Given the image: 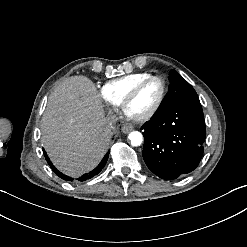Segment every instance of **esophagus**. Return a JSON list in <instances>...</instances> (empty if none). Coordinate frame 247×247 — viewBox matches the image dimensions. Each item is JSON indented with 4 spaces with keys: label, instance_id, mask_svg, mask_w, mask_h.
<instances>
[{
    "label": "esophagus",
    "instance_id": "1",
    "mask_svg": "<svg viewBox=\"0 0 247 247\" xmlns=\"http://www.w3.org/2000/svg\"><path fill=\"white\" fill-rule=\"evenodd\" d=\"M133 130V126L129 123L123 124L121 126V131L125 134L131 132Z\"/></svg>",
    "mask_w": 247,
    "mask_h": 247
}]
</instances>
